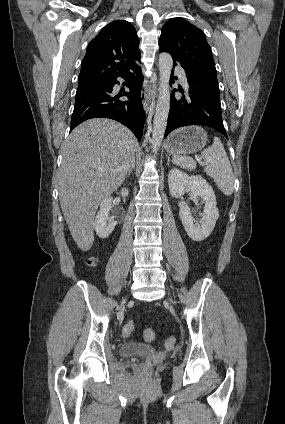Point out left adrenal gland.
I'll return each instance as SVG.
<instances>
[{"mask_svg":"<svg viewBox=\"0 0 285 424\" xmlns=\"http://www.w3.org/2000/svg\"><path fill=\"white\" fill-rule=\"evenodd\" d=\"M169 163H170V157L169 156H167V165L169 166Z\"/></svg>","mask_w":285,"mask_h":424,"instance_id":"a2214340","label":"left adrenal gland"}]
</instances>
